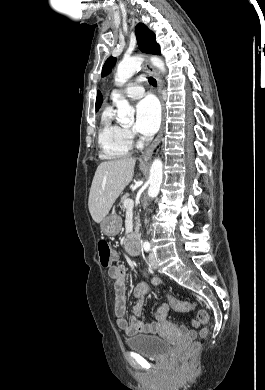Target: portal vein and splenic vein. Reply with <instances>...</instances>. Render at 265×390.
<instances>
[{
    "mask_svg": "<svg viewBox=\"0 0 265 390\" xmlns=\"http://www.w3.org/2000/svg\"><path fill=\"white\" fill-rule=\"evenodd\" d=\"M124 206L127 208V209H133L134 207V201L132 199H126L124 201Z\"/></svg>",
    "mask_w": 265,
    "mask_h": 390,
    "instance_id": "18ae733b",
    "label": "portal vein and splenic vein"
}]
</instances>
